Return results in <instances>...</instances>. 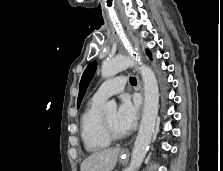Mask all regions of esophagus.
<instances>
[{
  "label": "esophagus",
  "mask_w": 223,
  "mask_h": 171,
  "mask_svg": "<svg viewBox=\"0 0 223 171\" xmlns=\"http://www.w3.org/2000/svg\"><path fill=\"white\" fill-rule=\"evenodd\" d=\"M112 21H113L114 31H118L119 39H123V42L127 43L126 49L132 50V51H130L131 55L134 56L138 62H140L141 56L139 53V49L135 45H132V39L130 38V34H127V31L125 30L124 21H121V18L118 17L117 13L113 14ZM138 83H139L140 93L143 94L142 83L140 80L138 81ZM123 152L127 153V152H129V150L124 149Z\"/></svg>",
  "instance_id": "obj_1"
}]
</instances>
